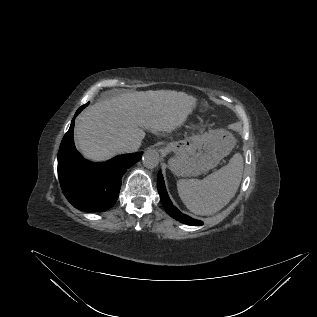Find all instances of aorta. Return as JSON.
I'll list each match as a JSON object with an SVG mask.
<instances>
[{
	"mask_svg": "<svg viewBox=\"0 0 317 317\" xmlns=\"http://www.w3.org/2000/svg\"><path fill=\"white\" fill-rule=\"evenodd\" d=\"M160 161L159 153L154 149H148L142 156L143 165L148 169H153L158 166Z\"/></svg>",
	"mask_w": 317,
	"mask_h": 317,
	"instance_id": "aorta-1",
	"label": "aorta"
}]
</instances>
